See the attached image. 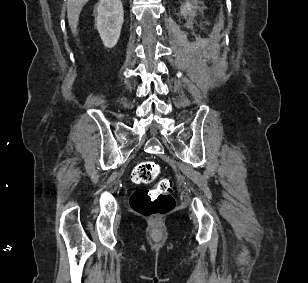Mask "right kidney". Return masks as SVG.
<instances>
[{"label": "right kidney", "instance_id": "obj_1", "mask_svg": "<svg viewBox=\"0 0 308 283\" xmlns=\"http://www.w3.org/2000/svg\"><path fill=\"white\" fill-rule=\"evenodd\" d=\"M124 22L121 0H99L97 4L96 27L107 48H113L120 37Z\"/></svg>", "mask_w": 308, "mask_h": 283}]
</instances>
